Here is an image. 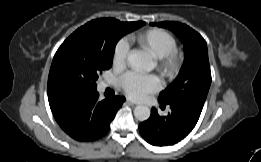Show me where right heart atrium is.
Listing matches in <instances>:
<instances>
[{
  "label": "right heart atrium",
  "mask_w": 261,
  "mask_h": 162,
  "mask_svg": "<svg viewBox=\"0 0 261 162\" xmlns=\"http://www.w3.org/2000/svg\"><path fill=\"white\" fill-rule=\"evenodd\" d=\"M128 44L127 41L121 40L115 47L112 63L116 68H123L127 62Z\"/></svg>",
  "instance_id": "1"
}]
</instances>
